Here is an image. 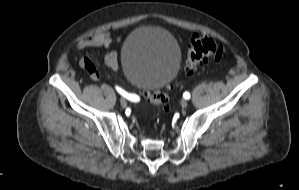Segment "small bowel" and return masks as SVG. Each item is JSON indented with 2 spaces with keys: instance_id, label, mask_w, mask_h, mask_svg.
<instances>
[{
  "instance_id": "1",
  "label": "small bowel",
  "mask_w": 299,
  "mask_h": 190,
  "mask_svg": "<svg viewBox=\"0 0 299 190\" xmlns=\"http://www.w3.org/2000/svg\"><path fill=\"white\" fill-rule=\"evenodd\" d=\"M121 40V37L117 38V42ZM112 43L111 35L107 32H100L92 36H87L83 38L80 43V48H103L108 49ZM104 62L105 64L113 70L119 69V61L116 52L114 51H107L104 55ZM93 79L98 78V73L95 72L91 75Z\"/></svg>"
}]
</instances>
